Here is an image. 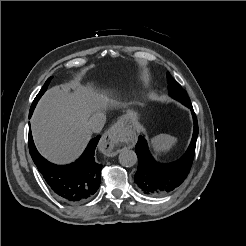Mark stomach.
I'll use <instances>...</instances> for the list:
<instances>
[{
	"mask_svg": "<svg viewBox=\"0 0 246 246\" xmlns=\"http://www.w3.org/2000/svg\"><path fill=\"white\" fill-rule=\"evenodd\" d=\"M139 116L136 111L129 110L120 120L121 124L127 128L132 130L138 123Z\"/></svg>",
	"mask_w": 246,
	"mask_h": 246,
	"instance_id": "stomach-1",
	"label": "stomach"
}]
</instances>
